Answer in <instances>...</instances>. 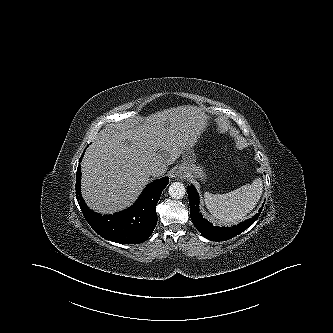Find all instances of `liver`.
I'll return each instance as SVG.
<instances>
[{
    "instance_id": "liver-1",
    "label": "liver",
    "mask_w": 333,
    "mask_h": 333,
    "mask_svg": "<svg viewBox=\"0 0 333 333\" xmlns=\"http://www.w3.org/2000/svg\"><path fill=\"white\" fill-rule=\"evenodd\" d=\"M205 125L201 111L187 105L151 114L137 126L101 130L81 163L88 207L112 214L132 205L149 181V169L157 166L164 174L181 155L194 151Z\"/></svg>"
}]
</instances>
